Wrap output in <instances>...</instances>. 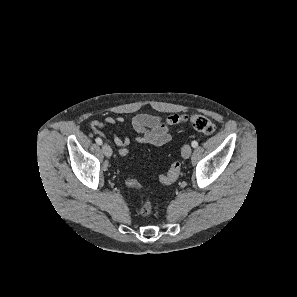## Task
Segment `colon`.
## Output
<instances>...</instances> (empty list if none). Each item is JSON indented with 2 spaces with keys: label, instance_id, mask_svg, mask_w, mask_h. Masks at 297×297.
Returning a JSON list of instances; mask_svg holds the SVG:
<instances>
[{
  "label": "colon",
  "instance_id": "1",
  "mask_svg": "<svg viewBox=\"0 0 297 297\" xmlns=\"http://www.w3.org/2000/svg\"><path fill=\"white\" fill-rule=\"evenodd\" d=\"M164 123L168 126H177L182 124H190L196 131L204 134L211 135L215 131V124L206 116L202 114L186 115H171L166 118ZM117 155L121 158H127L129 151L126 146H121L117 150ZM181 170V164L174 162L171 164L169 171L165 175L159 176V181L163 184L173 183L179 176ZM126 185L134 190H140L142 188L141 183L135 178L128 177L126 179ZM152 212V205L149 200H146L140 208L142 216H149Z\"/></svg>",
  "mask_w": 297,
  "mask_h": 297
}]
</instances>
